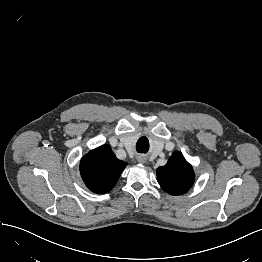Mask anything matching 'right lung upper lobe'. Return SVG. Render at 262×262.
<instances>
[{
    "label": "right lung upper lobe",
    "instance_id": "cb5924a9",
    "mask_svg": "<svg viewBox=\"0 0 262 262\" xmlns=\"http://www.w3.org/2000/svg\"><path fill=\"white\" fill-rule=\"evenodd\" d=\"M126 165L116 158L110 146L102 145L82 158L80 172L91 191L106 193L115 186Z\"/></svg>",
    "mask_w": 262,
    "mask_h": 262
}]
</instances>
